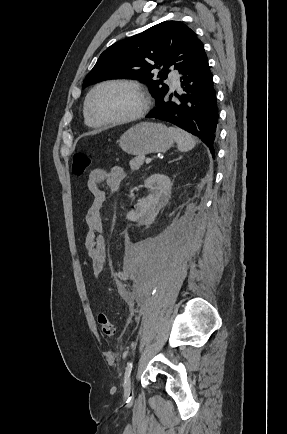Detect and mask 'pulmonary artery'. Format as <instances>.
Wrapping results in <instances>:
<instances>
[{
  "label": "pulmonary artery",
  "instance_id": "obj_1",
  "mask_svg": "<svg viewBox=\"0 0 287 434\" xmlns=\"http://www.w3.org/2000/svg\"><path fill=\"white\" fill-rule=\"evenodd\" d=\"M168 80L174 88H179L180 82H179V76L177 73L171 72L169 74Z\"/></svg>",
  "mask_w": 287,
  "mask_h": 434
}]
</instances>
